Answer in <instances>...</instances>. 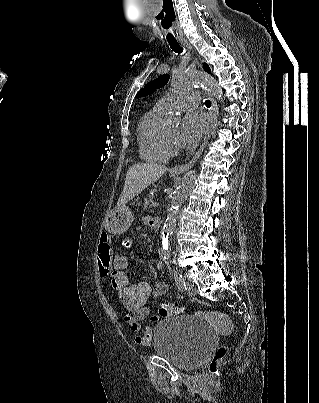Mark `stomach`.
Masks as SVG:
<instances>
[{
    "mask_svg": "<svg viewBox=\"0 0 319 403\" xmlns=\"http://www.w3.org/2000/svg\"><path fill=\"white\" fill-rule=\"evenodd\" d=\"M133 218V214L128 207H117L107 215L105 228L109 233L122 234L130 227Z\"/></svg>",
    "mask_w": 319,
    "mask_h": 403,
    "instance_id": "stomach-1",
    "label": "stomach"
}]
</instances>
